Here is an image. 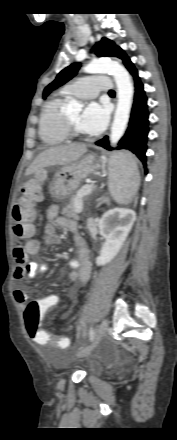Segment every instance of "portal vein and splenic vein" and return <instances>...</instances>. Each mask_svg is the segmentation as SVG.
Wrapping results in <instances>:
<instances>
[{
	"instance_id": "18ae733b",
	"label": "portal vein and splenic vein",
	"mask_w": 177,
	"mask_h": 440,
	"mask_svg": "<svg viewBox=\"0 0 177 440\" xmlns=\"http://www.w3.org/2000/svg\"><path fill=\"white\" fill-rule=\"evenodd\" d=\"M90 191H91V189H87V190H86L81 196H84V195L89 194ZM76 211H77L78 213H80V212L82 211V205H81V204H77V206H76Z\"/></svg>"
}]
</instances>
